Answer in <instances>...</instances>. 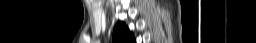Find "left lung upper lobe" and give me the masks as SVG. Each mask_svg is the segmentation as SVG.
I'll return each mask as SVG.
<instances>
[{"label": "left lung upper lobe", "instance_id": "5c2ea615", "mask_svg": "<svg viewBox=\"0 0 256 43\" xmlns=\"http://www.w3.org/2000/svg\"><path fill=\"white\" fill-rule=\"evenodd\" d=\"M133 34L124 22H118L113 31L112 43H134Z\"/></svg>", "mask_w": 256, "mask_h": 43}]
</instances>
